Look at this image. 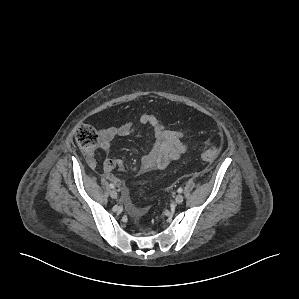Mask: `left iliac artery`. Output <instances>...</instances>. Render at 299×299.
<instances>
[{"instance_id":"1","label":"left iliac artery","mask_w":299,"mask_h":299,"mask_svg":"<svg viewBox=\"0 0 299 299\" xmlns=\"http://www.w3.org/2000/svg\"><path fill=\"white\" fill-rule=\"evenodd\" d=\"M182 191H183V189L181 187L178 188V190H177L178 193H181Z\"/></svg>"}]
</instances>
